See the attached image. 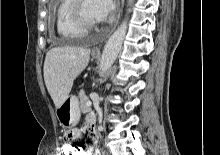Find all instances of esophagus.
Segmentation results:
<instances>
[{"label": "esophagus", "mask_w": 220, "mask_h": 155, "mask_svg": "<svg viewBox=\"0 0 220 155\" xmlns=\"http://www.w3.org/2000/svg\"><path fill=\"white\" fill-rule=\"evenodd\" d=\"M123 5H124V0H120V10H119V14H118V18H117V22L116 24L118 23L120 17H121V13H122V9H123ZM94 53H99L100 52V49L99 48H95L93 50Z\"/></svg>", "instance_id": "obj_1"}]
</instances>
